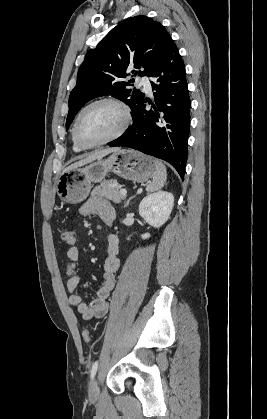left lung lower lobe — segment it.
Segmentation results:
<instances>
[{"mask_svg": "<svg viewBox=\"0 0 267 419\" xmlns=\"http://www.w3.org/2000/svg\"><path fill=\"white\" fill-rule=\"evenodd\" d=\"M148 76L155 78L151 82L152 90L156 91L155 104L146 110L147 98H143L132 112L133 124L108 145L130 147L163 159L183 179L188 153L191 100L185 65L172 39Z\"/></svg>", "mask_w": 267, "mask_h": 419, "instance_id": "1", "label": "left lung lower lobe"}]
</instances>
